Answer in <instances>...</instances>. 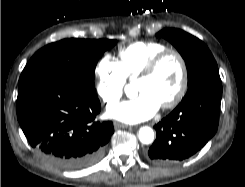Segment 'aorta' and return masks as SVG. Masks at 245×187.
<instances>
[{
  "label": "aorta",
  "mask_w": 245,
  "mask_h": 187,
  "mask_svg": "<svg viewBox=\"0 0 245 187\" xmlns=\"http://www.w3.org/2000/svg\"><path fill=\"white\" fill-rule=\"evenodd\" d=\"M125 93L128 97L133 98L136 95V89L133 85H128L125 87ZM138 137L143 144H150L154 141V132L152 128L144 126L139 129Z\"/></svg>",
  "instance_id": "aorta-1"
}]
</instances>
